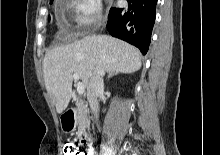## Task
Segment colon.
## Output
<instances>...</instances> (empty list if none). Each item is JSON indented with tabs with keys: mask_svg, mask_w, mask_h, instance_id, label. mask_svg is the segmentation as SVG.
I'll return each instance as SVG.
<instances>
[{
	"mask_svg": "<svg viewBox=\"0 0 220 155\" xmlns=\"http://www.w3.org/2000/svg\"><path fill=\"white\" fill-rule=\"evenodd\" d=\"M86 143V142H85ZM85 144L79 145L78 143L68 142L64 145V155H87L85 152Z\"/></svg>",
	"mask_w": 220,
	"mask_h": 155,
	"instance_id": "obj_1",
	"label": "colon"
}]
</instances>
